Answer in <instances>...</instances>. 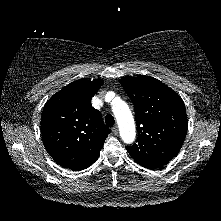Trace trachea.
Segmentation results:
<instances>
[{"instance_id":"trachea-1","label":"trachea","mask_w":221,"mask_h":221,"mask_svg":"<svg viewBox=\"0 0 221 221\" xmlns=\"http://www.w3.org/2000/svg\"><path fill=\"white\" fill-rule=\"evenodd\" d=\"M105 123L108 127H113V125L115 123L114 117L110 114L106 115Z\"/></svg>"}]
</instances>
